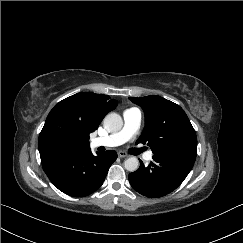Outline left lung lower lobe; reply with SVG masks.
I'll list each match as a JSON object with an SVG mask.
<instances>
[{
  "instance_id": "0a47b994",
  "label": "left lung lower lobe",
  "mask_w": 243,
  "mask_h": 243,
  "mask_svg": "<svg viewBox=\"0 0 243 243\" xmlns=\"http://www.w3.org/2000/svg\"><path fill=\"white\" fill-rule=\"evenodd\" d=\"M197 147L174 148L153 155L145 167L140 160L137 171L128 178L131 186L147 197H162L175 190L186 178L196 159Z\"/></svg>"
}]
</instances>
